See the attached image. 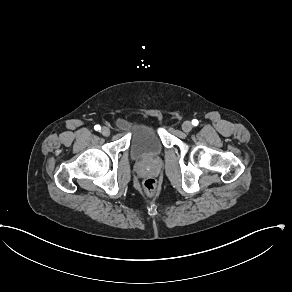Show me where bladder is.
Wrapping results in <instances>:
<instances>
[{
  "label": "bladder",
  "instance_id": "1",
  "mask_svg": "<svg viewBox=\"0 0 292 292\" xmlns=\"http://www.w3.org/2000/svg\"><path fill=\"white\" fill-rule=\"evenodd\" d=\"M117 128L130 134V155L134 159L149 158L163 151V143L158 126L145 119L131 120L121 118Z\"/></svg>",
  "mask_w": 292,
  "mask_h": 292
}]
</instances>
